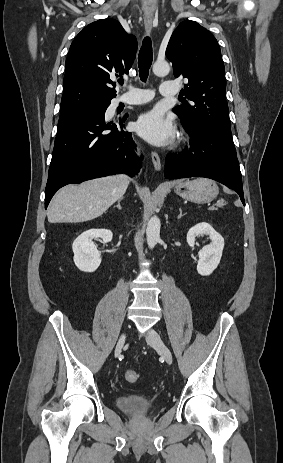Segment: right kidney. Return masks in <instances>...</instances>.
Instances as JSON below:
<instances>
[{
	"mask_svg": "<svg viewBox=\"0 0 283 463\" xmlns=\"http://www.w3.org/2000/svg\"><path fill=\"white\" fill-rule=\"evenodd\" d=\"M94 238L110 242L113 233L107 229H90L79 235L73 242L74 263L83 272H94L101 263V254L97 250Z\"/></svg>",
	"mask_w": 283,
	"mask_h": 463,
	"instance_id": "ca27d5eb",
	"label": "right kidney"
}]
</instances>
